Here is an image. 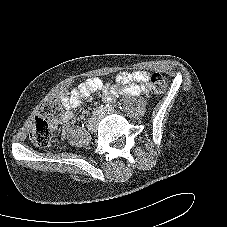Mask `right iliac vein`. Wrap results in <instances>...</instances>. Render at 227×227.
Wrapping results in <instances>:
<instances>
[{"label":"right iliac vein","instance_id":"obj_1","mask_svg":"<svg viewBox=\"0 0 227 227\" xmlns=\"http://www.w3.org/2000/svg\"><path fill=\"white\" fill-rule=\"evenodd\" d=\"M97 121H96V119H94V118H91L89 121H88V123H87V128H88V130L89 131H91V132H96V130H97Z\"/></svg>","mask_w":227,"mask_h":227}]
</instances>
